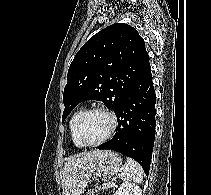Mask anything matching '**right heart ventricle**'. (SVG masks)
<instances>
[{
    "label": "right heart ventricle",
    "instance_id": "obj_1",
    "mask_svg": "<svg viewBox=\"0 0 211 195\" xmlns=\"http://www.w3.org/2000/svg\"><path fill=\"white\" fill-rule=\"evenodd\" d=\"M82 112H83L82 109L76 110L72 114L70 121H69V129H70L71 139H72L73 144L78 148H81L82 145L79 143V141L77 140V137H76V123H77V120Z\"/></svg>",
    "mask_w": 211,
    "mask_h": 195
}]
</instances>
